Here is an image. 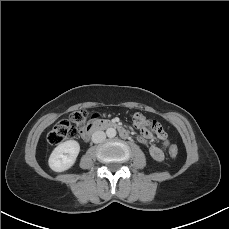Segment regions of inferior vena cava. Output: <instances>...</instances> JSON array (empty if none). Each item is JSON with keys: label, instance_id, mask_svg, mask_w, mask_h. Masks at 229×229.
Instances as JSON below:
<instances>
[{"label": "inferior vena cava", "instance_id": "obj_1", "mask_svg": "<svg viewBox=\"0 0 229 229\" xmlns=\"http://www.w3.org/2000/svg\"><path fill=\"white\" fill-rule=\"evenodd\" d=\"M106 138V134L103 131H96L92 135V141L94 143H100L104 141Z\"/></svg>", "mask_w": 229, "mask_h": 229}]
</instances>
